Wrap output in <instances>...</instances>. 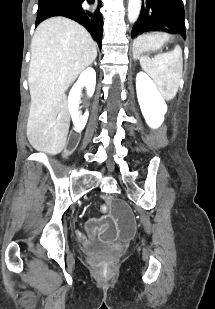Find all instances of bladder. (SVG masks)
I'll return each mask as SVG.
<instances>
[{
	"label": "bladder",
	"mask_w": 215,
	"mask_h": 309,
	"mask_svg": "<svg viewBox=\"0 0 215 309\" xmlns=\"http://www.w3.org/2000/svg\"><path fill=\"white\" fill-rule=\"evenodd\" d=\"M77 251L84 256H92V257H99V256H105V255H113L114 252L112 249L106 246H79L77 248Z\"/></svg>",
	"instance_id": "obj_1"
}]
</instances>
